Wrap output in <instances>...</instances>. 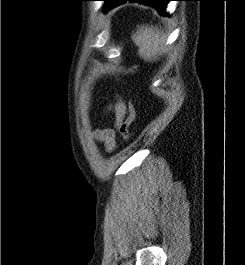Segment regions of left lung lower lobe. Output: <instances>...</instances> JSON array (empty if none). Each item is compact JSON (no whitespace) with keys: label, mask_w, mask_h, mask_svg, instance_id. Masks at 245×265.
I'll return each instance as SVG.
<instances>
[{"label":"left lung lower lobe","mask_w":245,"mask_h":265,"mask_svg":"<svg viewBox=\"0 0 245 265\" xmlns=\"http://www.w3.org/2000/svg\"><path fill=\"white\" fill-rule=\"evenodd\" d=\"M126 1L140 2L143 4H147V5H153L155 8H157V10L159 11L160 14L167 15V13H165V8L167 5V2L172 1V0H108V1H105V5L103 7V12H106L109 9L116 7L120 4H123Z\"/></svg>","instance_id":"left-lung-lower-lobe-1"}]
</instances>
